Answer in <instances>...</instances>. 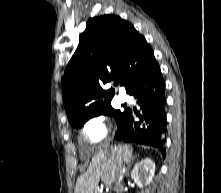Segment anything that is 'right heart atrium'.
I'll return each instance as SVG.
<instances>
[{
	"mask_svg": "<svg viewBox=\"0 0 221 193\" xmlns=\"http://www.w3.org/2000/svg\"><path fill=\"white\" fill-rule=\"evenodd\" d=\"M112 130V124L108 116L99 114L91 117L83 126V136L90 144L103 142Z\"/></svg>",
	"mask_w": 221,
	"mask_h": 193,
	"instance_id": "right-heart-atrium-1",
	"label": "right heart atrium"
}]
</instances>
